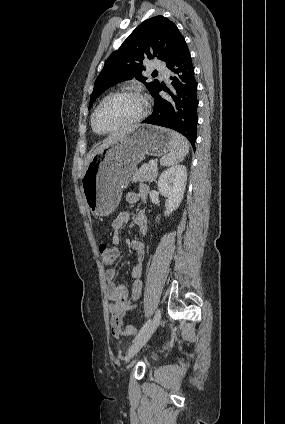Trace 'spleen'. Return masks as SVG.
I'll use <instances>...</instances> for the list:
<instances>
[{
    "label": "spleen",
    "instance_id": "3e777b00",
    "mask_svg": "<svg viewBox=\"0 0 285 424\" xmlns=\"http://www.w3.org/2000/svg\"><path fill=\"white\" fill-rule=\"evenodd\" d=\"M173 138V147L168 155L161 158V165L170 166L178 164L189 152V142L184 136L177 132H173Z\"/></svg>",
    "mask_w": 285,
    "mask_h": 424
}]
</instances>
